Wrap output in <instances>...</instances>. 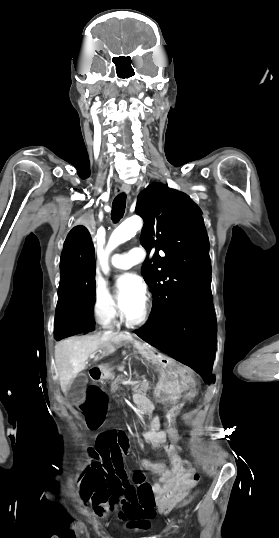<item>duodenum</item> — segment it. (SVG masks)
<instances>
[{"label":"duodenum","instance_id":"410a0bca","mask_svg":"<svg viewBox=\"0 0 279 538\" xmlns=\"http://www.w3.org/2000/svg\"><path fill=\"white\" fill-rule=\"evenodd\" d=\"M105 372H107V369L95 364L94 366H90L87 376L94 384L99 385L103 381V373ZM132 400L134 401V406H138L145 415L153 414L155 405H153V401H151L149 395H134Z\"/></svg>","mask_w":279,"mask_h":538}]
</instances>
